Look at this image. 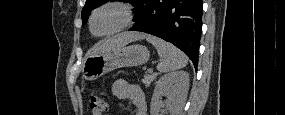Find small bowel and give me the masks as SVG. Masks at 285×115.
Segmentation results:
<instances>
[{"instance_id":"c3829d8e","label":"small bowel","mask_w":285,"mask_h":115,"mask_svg":"<svg viewBox=\"0 0 285 115\" xmlns=\"http://www.w3.org/2000/svg\"><path fill=\"white\" fill-rule=\"evenodd\" d=\"M113 94L135 107V115H147V102L139 86L131 84L124 79H116L112 84Z\"/></svg>"}]
</instances>
